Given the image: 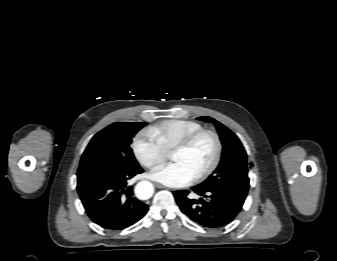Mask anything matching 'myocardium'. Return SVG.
<instances>
[{"label":"myocardium","mask_w":337,"mask_h":261,"mask_svg":"<svg viewBox=\"0 0 337 261\" xmlns=\"http://www.w3.org/2000/svg\"><path fill=\"white\" fill-rule=\"evenodd\" d=\"M204 135H210L214 139L215 154L209 167L194 177L195 181H201L206 179L217 169L221 161L223 152V143L220 135L215 130L212 129H201L187 136L172 150V154L175 152L185 151L189 149L200 137Z\"/></svg>","instance_id":"1"}]
</instances>
